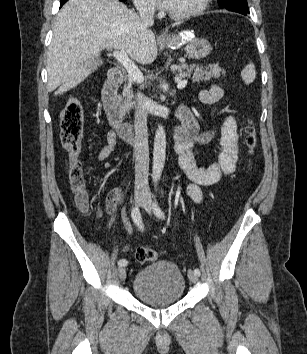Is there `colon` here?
I'll return each mask as SVG.
<instances>
[{
    "instance_id": "colon-1",
    "label": "colon",
    "mask_w": 307,
    "mask_h": 354,
    "mask_svg": "<svg viewBox=\"0 0 307 354\" xmlns=\"http://www.w3.org/2000/svg\"><path fill=\"white\" fill-rule=\"evenodd\" d=\"M61 143L67 151V175L71 189L76 197V203L82 210L89 205L85 190V181L82 163L80 161L81 141L83 137L84 114L81 100L70 97L61 112ZM245 143L251 154L257 147L256 128L252 117H248L245 127ZM139 263L155 261L158 257L156 250L149 247H140L135 253Z\"/></svg>"
}]
</instances>
